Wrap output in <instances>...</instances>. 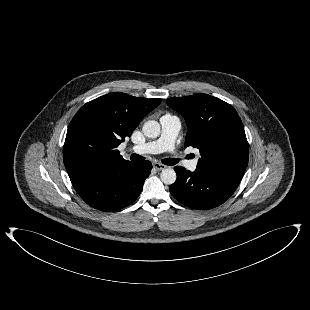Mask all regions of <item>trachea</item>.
Wrapping results in <instances>:
<instances>
[{
    "label": "trachea",
    "instance_id": "obj_1",
    "mask_svg": "<svg viewBox=\"0 0 310 310\" xmlns=\"http://www.w3.org/2000/svg\"><path fill=\"white\" fill-rule=\"evenodd\" d=\"M145 158L141 155H138V154H132L130 156V160L131 161H142L144 160ZM178 159H175V158H166V159H163L161 160V162L165 165H169V166H172V165H175L178 163Z\"/></svg>",
    "mask_w": 310,
    "mask_h": 310
}]
</instances>
